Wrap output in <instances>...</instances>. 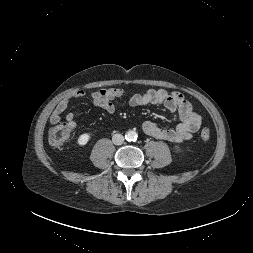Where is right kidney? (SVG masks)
I'll return each instance as SVG.
<instances>
[{"label":"right kidney","instance_id":"1","mask_svg":"<svg viewBox=\"0 0 253 253\" xmlns=\"http://www.w3.org/2000/svg\"><path fill=\"white\" fill-rule=\"evenodd\" d=\"M90 135L88 133L81 134L77 140L78 145L84 146L88 143Z\"/></svg>","mask_w":253,"mask_h":253}]
</instances>
